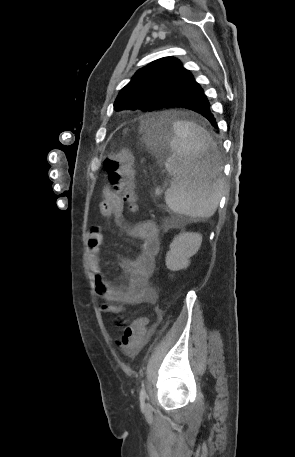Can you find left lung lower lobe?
Here are the masks:
<instances>
[{
  "label": "left lung lower lobe",
  "mask_w": 295,
  "mask_h": 457,
  "mask_svg": "<svg viewBox=\"0 0 295 457\" xmlns=\"http://www.w3.org/2000/svg\"><path fill=\"white\" fill-rule=\"evenodd\" d=\"M167 107H182L193 110L204 116L212 126L217 128V122L210 109V103L202 87L195 81L191 74V83L178 93L161 101L156 110ZM212 163V162H210Z\"/></svg>",
  "instance_id": "obj_1"
}]
</instances>
